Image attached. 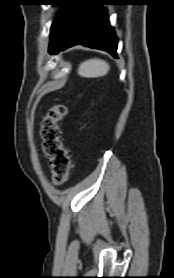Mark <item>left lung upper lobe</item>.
<instances>
[{
    "label": "left lung upper lobe",
    "mask_w": 174,
    "mask_h": 278,
    "mask_svg": "<svg viewBox=\"0 0 174 278\" xmlns=\"http://www.w3.org/2000/svg\"><path fill=\"white\" fill-rule=\"evenodd\" d=\"M53 5H61L51 26L49 50L57 45L67 34L78 0H54Z\"/></svg>",
    "instance_id": "5c2ea615"
}]
</instances>
